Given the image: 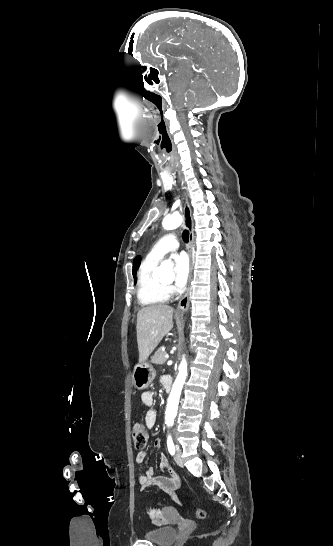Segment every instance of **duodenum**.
<instances>
[{
  "instance_id": "1",
  "label": "duodenum",
  "mask_w": 333,
  "mask_h": 546,
  "mask_svg": "<svg viewBox=\"0 0 333 546\" xmlns=\"http://www.w3.org/2000/svg\"><path fill=\"white\" fill-rule=\"evenodd\" d=\"M172 384V379L170 377H166L163 385L167 391H170L172 389Z\"/></svg>"
}]
</instances>
